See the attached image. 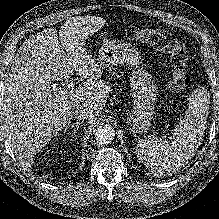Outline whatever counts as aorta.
Segmentation results:
<instances>
[{
	"mask_svg": "<svg viewBox=\"0 0 219 219\" xmlns=\"http://www.w3.org/2000/svg\"><path fill=\"white\" fill-rule=\"evenodd\" d=\"M115 136L114 128L110 125H104L97 128L95 140L99 145L109 144Z\"/></svg>",
	"mask_w": 219,
	"mask_h": 219,
	"instance_id": "1",
	"label": "aorta"
}]
</instances>
